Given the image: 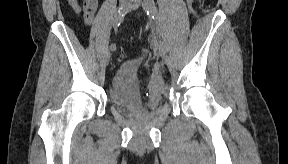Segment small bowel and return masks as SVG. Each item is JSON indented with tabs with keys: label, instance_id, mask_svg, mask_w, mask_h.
<instances>
[{
	"label": "small bowel",
	"instance_id": "c3829d8e",
	"mask_svg": "<svg viewBox=\"0 0 288 164\" xmlns=\"http://www.w3.org/2000/svg\"><path fill=\"white\" fill-rule=\"evenodd\" d=\"M97 7H98L97 0H85L84 1V3H83V15H84V20L87 24H91L93 22ZM74 11L76 13H79L81 11V9L78 6L76 9H74Z\"/></svg>",
	"mask_w": 288,
	"mask_h": 164
}]
</instances>
